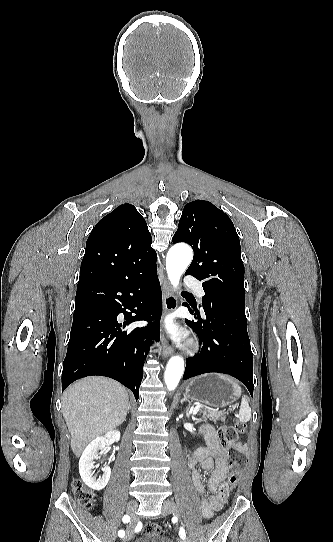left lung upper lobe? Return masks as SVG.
Returning a JSON list of instances; mask_svg holds the SVG:
<instances>
[{
	"label": "left lung upper lobe",
	"instance_id": "left-lung-upper-lobe-1",
	"mask_svg": "<svg viewBox=\"0 0 333 542\" xmlns=\"http://www.w3.org/2000/svg\"><path fill=\"white\" fill-rule=\"evenodd\" d=\"M173 243L191 245L194 257L186 275L202 280L205 315L217 302L245 307L244 265L238 234L230 218L212 203L186 204Z\"/></svg>",
	"mask_w": 333,
	"mask_h": 542
}]
</instances>
